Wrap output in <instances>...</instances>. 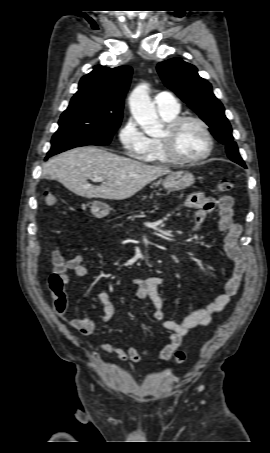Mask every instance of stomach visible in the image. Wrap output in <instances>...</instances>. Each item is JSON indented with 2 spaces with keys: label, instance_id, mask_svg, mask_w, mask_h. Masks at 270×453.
<instances>
[{
  "label": "stomach",
  "instance_id": "obj_1",
  "mask_svg": "<svg viewBox=\"0 0 270 453\" xmlns=\"http://www.w3.org/2000/svg\"><path fill=\"white\" fill-rule=\"evenodd\" d=\"M194 181L195 178L192 173L188 171H176L170 173L163 180V187L170 192L180 191L193 185ZM110 211L111 208L103 202L95 201L92 203L91 213L96 218H104Z\"/></svg>",
  "mask_w": 270,
  "mask_h": 453
}]
</instances>
